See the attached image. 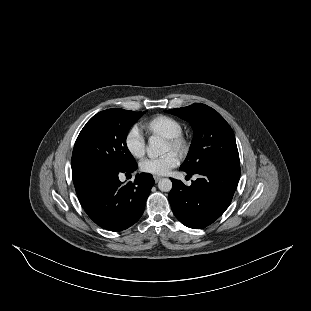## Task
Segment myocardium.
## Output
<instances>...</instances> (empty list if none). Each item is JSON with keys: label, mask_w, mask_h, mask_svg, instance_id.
<instances>
[{"label": "myocardium", "mask_w": 311, "mask_h": 311, "mask_svg": "<svg viewBox=\"0 0 311 311\" xmlns=\"http://www.w3.org/2000/svg\"><path fill=\"white\" fill-rule=\"evenodd\" d=\"M167 142L172 146L175 151H177L182 156L189 155L192 148V142L190 138H188L184 134L168 138Z\"/></svg>", "instance_id": "obj_1"}]
</instances>
